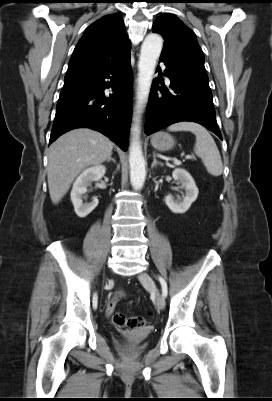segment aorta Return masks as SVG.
Here are the masks:
<instances>
[{
    "label": "aorta",
    "instance_id": "obj_1",
    "mask_svg": "<svg viewBox=\"0 0 272 401\" xmlns=\"http://www.w3.org/2000/svg\"><path fill=\"white\" fill-rule=\"evenodd\" d=\"M162 47V37L158 34L150 33L145 37L140 51L137 102L134 112V124L132 127L133 137L129 149L130 182L132 187L136 190H140L143 187L146 176L145 161L139 140V114L142 112L148 100L156 62L161 54Z\"/></svg>",
    "mask_w": 272,
    "mask_h": 401
}]
</instances>
